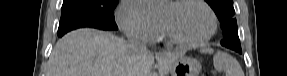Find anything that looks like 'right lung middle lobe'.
I'll list each match as a JSON object with an SVG mask.
<instances>
[{"mask_svg":"<svg viewBox=\"0 0 287 76\" xmlns=\"http://www.w3.org/2000/svg\"><path fill=\"white\" fill-rule=\"evenodd\" d=\"M119 0H64L58 36L82 27L117 30L114 13Z\"/></svg>","mask_w":287,"mask_h":76,"instance_id":"obj_1","label":"right lung middle lobe"}]
</instances>
